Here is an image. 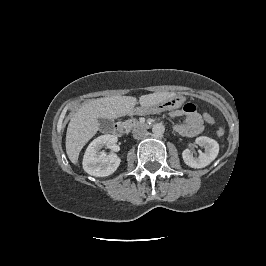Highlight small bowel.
Masks as SVG:
<instances>
[{"label":"small bowel","mask_w":266,"mask_h":266,"mask_svg":"<svg viewBox=\"0 0 266 266\" xmlns=\"http://www.w3.org/2000/svg\"><path fill=\"white\" fill-rule=\"evenodd\" d=\"M185 117L184 123L175 125V131L182 136L194 137L203 130V121L193 103H186L181 109L174 110L170 113V117Z\"/></svg>","instance_id":"1"}]
</instances>
